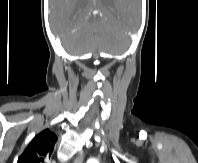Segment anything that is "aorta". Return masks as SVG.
Wrapping results in <instances>:
<instances>
[{
	"instance_id": "obj_1",
	"label": "aorta",
	"mask_w": 198,
	"mask_h": 163,
	"mask_svg": "<svg viewBox=\"0 0 198 163\" xmlns=\"http://www.w3.org/2000/svg\"><path fill=\"white\" fill-rule=\"evenodd\" d=\"M88 163H98L97 160H89Z\"/></svg>"
}]
</instances>
